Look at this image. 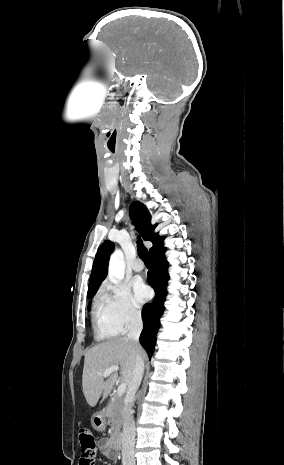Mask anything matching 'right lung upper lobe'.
<instances>
[{
  "instance_id": "obj_1",
  "label": "right lung upper lobe",
  "mask_w": 284,
  "mask_h": 465,
  "mask_svg": "<svg viewBox=\"0 0 284 465\" xmlns=\"http://www.w3.org/2000/svg\"><path fill=\"white\" fill-rule=\"evenodd\" d=\"M129 214L142 238L153 243V247L149 250V254L160 248L164 237L154 233L157 224H151V214L148 212L146 206L135 201L130 205ZM113 249L114 244L109 240L105 241L99 247L93 262L87 296L94 295L101 282L105 279L108 271L110 254Z\"/></svg>"
}]
</instances>
